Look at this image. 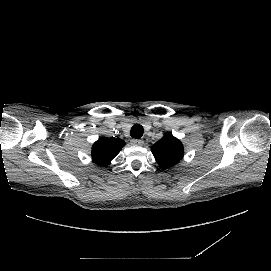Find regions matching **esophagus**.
<instances>
[{
    "label": "esophagus",
    "mask_w": 271,
    "mask_h": 271,
    "mask_svg": "<svg viewBox=\"0 0 271 271\" xmlns=\"http://www.w3.org/2000/svg\"><path fill=\"white\" fill-rule=\"evenodd\" d=\"M130 144L135 146H142L144 141L142 139H131Z\"/></svg>",
    "instance_id": "obj_1"
}]
</instances>
